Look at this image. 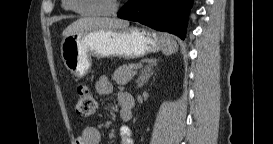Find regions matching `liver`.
Masks as SVG:
<instances>
[{"instance_id": "obj_1", "label": "liver", "mask_w": 273, "mask_h": 144, "mask_svg": "<svg viewBox=\"0 0 273 144\" xmlns=\"http://www.w3.org/2000/svg\"><path fill=\"white\" fill-rule=\"evenodd\" d=\"M129 26L128 21L114 19V18H100V17H87L80 18L73 23H71L67 28L63 31V38L86 30H94V29H125Z\"/></svg>"}]
</instances>
